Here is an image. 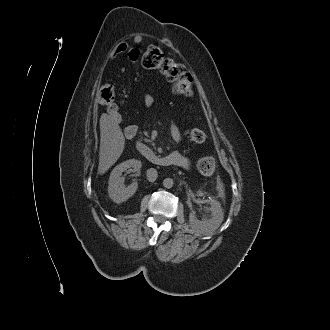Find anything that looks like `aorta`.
<instances>
[{
  "mask_svg": "<svg viewBox=\"0 0 330 330\" xmlns=\"http://www.w3.org/2000/svg\"><path fill=\"white\" fill-rule=\"evenodd\" d=\"M173 184H174V182H173V179L172 178H165L163 180V186L165 188H167V189L172 188L173 187Z\"/></svg>",
  "mask_w": 330,
  "mask_h": 330,
  "instance_id": "762f6f07",
  "label": "aorta"
}]
</instances>
